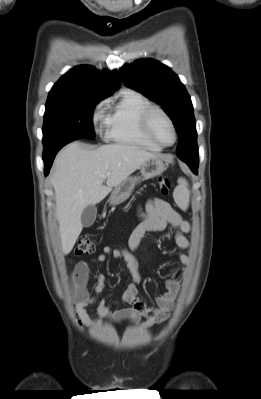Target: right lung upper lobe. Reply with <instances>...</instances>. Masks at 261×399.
Masks as SVG:
<instances>
[{
	"label": "right lung upper lobe",
	"mask_w": 261,
	"mask_h": 399,
	"mask_svg": "<svg viewBox=\"0 0 261 399\" xmlns=\"http://www.w3.org/2000/svg\"><path fill=\"white\" fill-rule=\"evenodd\" d=\"M121 84L117 70L98 72L95 68L82 65L71 69L49 92V98H106L115 92Z\"/></svg>",
	"instance_id": "obj_1"
}]
</instances>
